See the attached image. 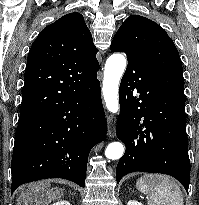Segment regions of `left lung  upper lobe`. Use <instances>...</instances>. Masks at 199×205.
<instances>
[{
	"instance_id": "1",
	"label": "left lung upper lobe",
	"mask_w": 199,
	"mask_h": 205,
	"mask_svg": "<svg viewBox=\"0 0 199 205\" xmlns=\"http://www.w3.org/2000/svg\"><path fill=\"white\" fill-rule=\"evenodd\" d=\"M115 48L139 59L166 89L184 96L179 53L158 24L143 16H129L113 38L110 49L114 52Z\"/></svg>"
}]
</instances>
